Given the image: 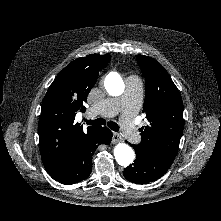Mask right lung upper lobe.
Returning <instances> with one entry per match:
<instances>
[{
    "instance_id": "right-lung-upper-lobe-1",
    "label": "right lung upper lobe",
    "mask_w": 221,
    "mask_h": 221,
    "mask_svg": "<svg viewBox=\"0 0 221 221\" xmlns=\"http://www.w3.org/2000/svg\"><path fill=\"white\" fill-rule=\"evenodd\" d=\"M110 59L109 54L77 58L59 72L48 88L42 102L38 132L42 162L55 180L68 170L80 142L98 128L89 126L86 130L74 120L78 110L85 111L83 103L99 71Z\"/></svg>"
}]
</instances>
